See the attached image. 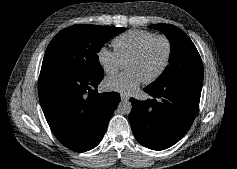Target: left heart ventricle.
<instances>
[{"label":"left heart ventricle","instance_id":"b2bd125f","mask_svg":"<svg viewBox=\"0 0 237 169\" xmlns=\"http://www.w3.org/2000/svg\"><path fill=\"white\" fill-rule=\"evenodd\" d=\"M166 50L165 42L162 39H156L150 43L141 57L129 61L126 64V69L135 71L143 81L159 70L164 61Z\"/></svg>","mask_w":237,"mask_h":169}]
</instances>
